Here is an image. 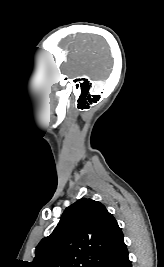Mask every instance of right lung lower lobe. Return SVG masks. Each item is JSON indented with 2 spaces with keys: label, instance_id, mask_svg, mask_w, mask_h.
Here are the masks:
<instances>
[{
  "label": "right lung lower lobe",
  "instance_id": "1",
  "mask_svg": "<svg viewBox=\"0 0 164 267\" xmlns=\"http://www.w3.org/2000/svg\"><path fill=\"white\" fill-rule=\"evenodd\" d=\"M98 267H132L126 246L107 257Z\"/></svg>",
  "mask_w": 164,
  "mask_h": 267
}]
</instances>
